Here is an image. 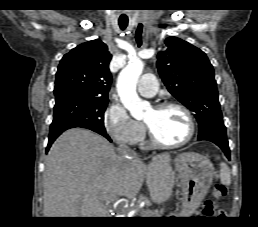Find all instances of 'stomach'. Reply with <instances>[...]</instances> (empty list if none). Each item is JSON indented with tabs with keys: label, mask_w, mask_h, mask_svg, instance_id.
<instances>
[{
	"label": "stomach",
	"mask_w": 258,
	"mask_h": 227,
	"mask_svg": "<svg viewBox=\"0 0 258 227\" xmlns=\"http://www.w3.org/2000/svg\"><path fill=\"white\" fill-rule=\"evenodd\" d=\"M173 162L182 186L181 215L192 213L212 184L213 164L206 156L194 152L179 154Z\"/></svg>",
	"instance_id": "1"
}]
</instances>
